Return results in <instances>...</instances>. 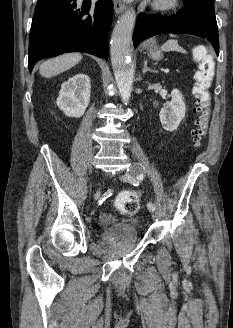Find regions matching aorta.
Returning a JSON list of instances; mask_svg holds the SVG:
<instances>
[{
  "instance_id": "1",
  "label": "aorta",
  "mask_w": 233,
  "mask_h": 328,
  "mask_svg": "<svg viewBox=\"0 0 233 328\" xmlns=\"http://www.w3.org/2000/svg\"><path fill=\"white\" fill-rule=\"evenodd\" d=\"M136 13L130 8L117 21L110 41L111 60L122 101L127 104L133 83V66L130 56V41Z\"/></svg>"
}]
</instances>
